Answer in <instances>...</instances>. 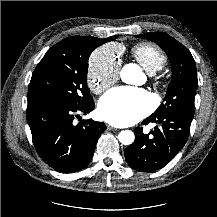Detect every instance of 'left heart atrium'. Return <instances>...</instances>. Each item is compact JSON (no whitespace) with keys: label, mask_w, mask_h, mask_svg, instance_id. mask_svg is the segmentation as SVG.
Instances as JSON below:
<instances>
[{"label":"left heart atrium","mask_w":217,"mask_h":217,"mask_svg":"<svg viewBox=\"0 0 217 217\" xmlns=\"http://www.w3.org/2000/svg\"><path fill=\"white\" fill-rule=\"evenodd\" d=\"M151 106L152 98L146 90L120 86L103 95L98 111L104 121L126 126L143 118Z\"/></svg>","instance_id":"obj_1"}]
</instances>
